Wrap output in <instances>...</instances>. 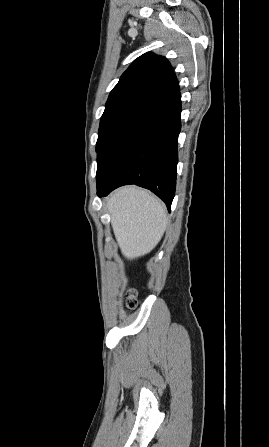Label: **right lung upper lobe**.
I'll list each match as a JSON object with an SVG mask.
<instances>
[{"label":"right lung upper lobe","instance_id":"cb5924a9","mask_svg":"<svg viewBox=\"0 0 269 447\" xmlns=\"http://www.w3.org/2000/svg\"><path fill=\"white\" fill-rule=\"evenodd\" d=\"M177 83L166 58L145 53L123 73L109 95L103 115L122 109L143 108Z\"/></svg>","mask_w":269,"mask_h":447}]
</instances>
